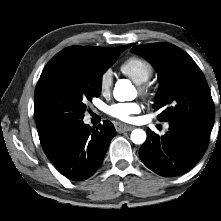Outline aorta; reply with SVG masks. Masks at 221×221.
Masks as SVG:
<instances>
[{"instance_id": "obj_1", "label": "aorta", "mask_w": 221, "mask_h": 221, "mask_svg": "<svg viewBox=\"0 0 221 221\" xmlns=\"http://www.w3.org/2000/svg\"><path fill=\"white\" fill-rule=\"evenodd\" d=\"M114 98L117 101L133 100L136 95V90L128 79H120L116 82L113 91ZM131 140L135 144H143L146 140V133L142 129H134L131 132Z\"/></svg>"}]
</instances>
